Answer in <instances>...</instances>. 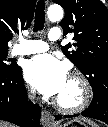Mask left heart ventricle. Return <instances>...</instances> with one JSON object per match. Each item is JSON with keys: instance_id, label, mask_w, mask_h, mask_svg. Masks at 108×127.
Wrapping results in <instances>:
<instances>
[{"instance_id": "1", "label": "left heart ventricle", "mask_w": 108, "mask_h": 127, "mask_svg": "<svg viewBox=\"0 0 108 127\" xmlns=\"http://www.w3.org/2000/svg\"><path fill=\"white\" fill-rule=\"evenodd\" d=\"M56 98L65 104L77 103L80 99V87L78 83L68 77L63 89Z\"/></svg>"}]
</instances>
